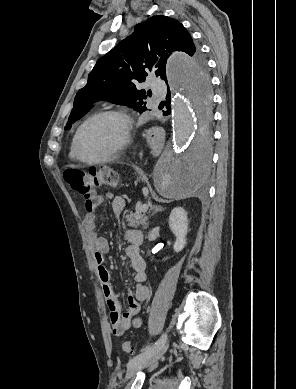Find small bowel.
Returning <instances> with one entry per match:
<instances>
[{
  "instance_id": "obj_1",
  "label": "small bowel",
  "mask_w": 296,
  "mask_h": 389,
  "mask_svg": "<svg viewBox=\"0 0 296 389\" xmlns=\"http://www.w3.org/2000/svg\"><path fill=\"white\" fill-rule=\"evenodd\" d=\"M111 199V208L116 216H120L125 209V200L120 196L113 197L111 194L100 195L92 193L85 197L83 226L87 233L97 274L101 283L103 295L109 309V318L113 334L121 336L131 327H139L141 318L138 316L142 304L147 302L150 289L144 284L146 280V263L140 255L139 246L142 243V234L133 229L124 231V238L129 243L125 252L135 272L134 293L127 299V309L122 312L120 303L110 282L109 271L104 266V255L109 251L108 241L96 232V213L105 201Z\"/></svg>"
}]
</instances>
